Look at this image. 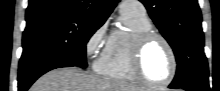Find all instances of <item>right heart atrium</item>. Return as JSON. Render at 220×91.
<instances>
[{
  "label": "right heart atrium",
  "mask_w": 220,
  "mask_h": 91,
  "mask_svg": "<svg viewBox=\"0 0 220 91\" xmlns=\"http://www.w3.org/2000/svg\"><path fill=\"white\" fill-rule=\"evenodd\" d=\"M106 34V25L96 28L85 42V53L88 58H93L102 46Z\"/></svg>",
  "instance_id": "obj_1"
}]
</instances>
